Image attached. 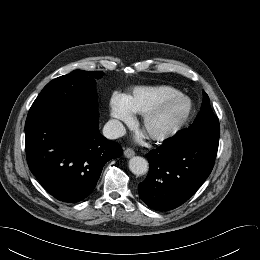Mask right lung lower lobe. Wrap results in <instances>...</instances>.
Wrapping results in <instances>:
<instances>
[{
	"label": "right lung lower lobe",
	"mask_w": 260,
	"mask_h": 260,
	"mask_svg": "<svg viewBox=\"0 0 260 260\" xmlns=\"http://www.w3.org/2000/svg\"><path fill=\"white\" fill-rule=\"evenodd\" d=\"M30 171L56 199L77 203L94 190L105 163L123 153L99 132L96 107L31 106L25 123Z\"/></svg>",
	"instance_id": "obj_1"
}]
</instances>
